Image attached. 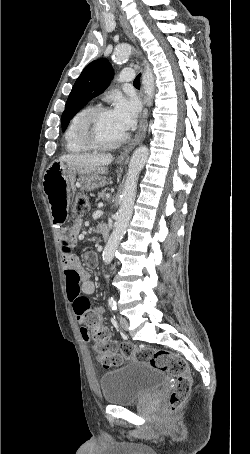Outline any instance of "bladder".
Instances as JSON below:
<instances>
[{
  "mask_svg": "<svg viewBox=\"0 0 250 454\" xmlns=\"http://www.w3.org/2000/svg\"><path fill=\"white\" fill-rule=\"evenodd\" d=\"M164 375L150 364L130 361L126 365L104 373L100 387L104 401L111 405H131L158 390Z\"/></svg>",
  "mask_w": 250,
  "mask_h": 454,
  "instance_id": "31cf9c89",
  "label": "bladder"
}]
</instances>
